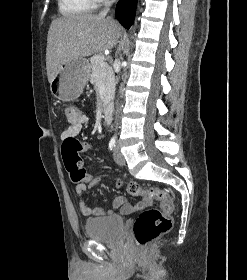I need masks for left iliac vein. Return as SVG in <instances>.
Segmentation results:
<instances>
[{
  "label": "left iliac vein",
  "instance_id": "left-iliac-vein-1",
  "mask_svg": "<svg viewBox=\"0 0 247 280\" xmlns=\"http://www.w3.org/2000/svg\"><path fill=\"white\" fill-rule=\"evenodd\" d=\"M114 160L118 165H124L125 164V158L122 155V153L120 152V148L119 145L116 146L115 150H114Z\"/></svg>",
  "mask_w": 247,
  "mask_h": 280
}]
</instances>
